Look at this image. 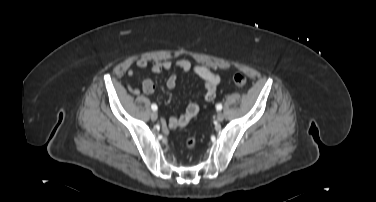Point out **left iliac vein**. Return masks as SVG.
<instances>
[{"label":"left iliac vein","instance_id":"left-iliac-vein-1","mask_svg":"<svg viewBox=\"0 0 376 202\" xmlns=\"http://www.w3.org/2000/svg\"><path fill=\"white\" fill-rule=\"evenodd\" d=\"M216 120L218 122H222L224 120V115L222 112H218L217 116H216Z\"/></svg>","mask_w":376,"mask_h":202}]
</instances>
